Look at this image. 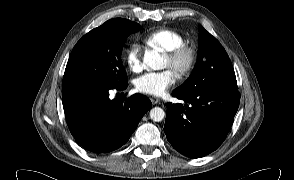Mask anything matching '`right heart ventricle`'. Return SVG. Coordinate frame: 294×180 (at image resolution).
Returning <instances> with one entry per match:
<instances>
[{"label":"right heart ventricle","instance_id":"e07e8e85","mask_svg":"<svg viewBox=\"0 0 294 180\" xmlns=\"http://www.w3.org/2000/svg\"><path fill=\"white\" fill-rule=\"evenodd\" d=\"M141 39L144 43L158 47L164 52H169L185 44V40L179 32L167 28L143 35Z\"/></svg>","mask_w":294,"mask_h":180}]
</instances>
